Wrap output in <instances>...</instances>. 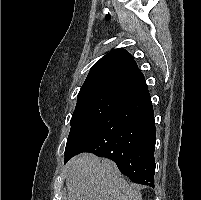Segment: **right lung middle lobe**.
Listing matches in <instances>:
<instances>
[{
  "mask_svg": "<svg viewBox=\"0 0 201 200\" xmlns=\"http://www.w3.org/2000/svg\"><path fill=\"white\" fill-rule=\"evenodd\" d=\"M128 101H130L129 98L110 91L79 93L76 108L70 121L71 129L68 135L66 147L69 142L86 127L104 117L114 109L123 106Z\"/></svg>",
  "mask_w": 201,
  "mask_h": 200,
  "instance_id": "obj_1",
  "label": "right lung middle lobe"
}]
</instances>
